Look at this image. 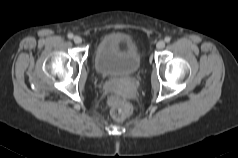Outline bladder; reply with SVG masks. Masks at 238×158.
Returning a JSON list of instances; mask_svg holds the SVG:
<instances>
[{
    "label": "bladder",
    "instance_id": "31cf9c89",
    "mask_svg": "<svg viewBox=\"0 0 238 158\" xmlns=\"http://www.w3.org/2000/svg\"><path fill=\"white\" fill-rule=\"evenodd\" d=\"M94 64L103 76H127L140 69L141 55L131 37L114 32L106 34L98 42Z\"/></svg>",
    "mask_w": 238,
    "mask_h": 158
}]
</instances>
